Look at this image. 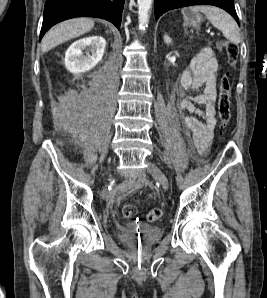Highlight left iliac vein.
Instances as JSON below:
<instances>
[{"label": "left iliac vein", "instance_id": "left-iliac-vein-1", "mask_svg": "<svg viewBox=\"0 0 267 298\" xmlns=\"http://www.w3.org/2000/svg\"><path fill=\"white\" fill-rule=\"evenodd\" d=\"M147 168L149 173L160 182L165 190H167L169 188V181L162 170L155 163L150 161H147Z\"/></svg>", "mask_w": 267, "mask_h": 298}]
</instances>
